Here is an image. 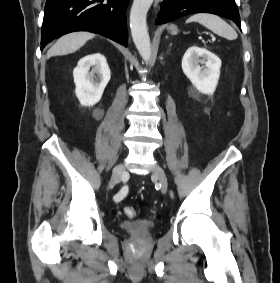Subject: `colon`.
<instances>
[{
  "mask_svg": "<svg viewBox=\"0 0 280 283\" xmlns=\"http://www.w3.org/2000/svg\"><path fill=\"white\" fill-rule=\"evenodd\" d=\"M124 214L128 217V218H134L136 216V211L134 208L132 207H126L124 208Z\"/></svg>",
  "mask_w": 280,
  "mask_h": 283,
  "instance_id": "colon-1",
  "label": "colon"
}]
</instances>
